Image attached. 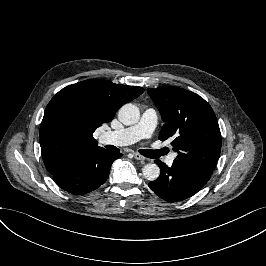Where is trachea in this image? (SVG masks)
<instances>
[{
	"mask_svg": "<svg viewBox=\"0 0 266 266\" xmlns=\"http://www.w3.org/2000/svg\"><path fill=\"white\" fill-rule=\"evenodd\" d=\"M162 151H163V149H161V150H149V149L146 150V149H144L140 153L142 155H144L145 157L153 159V158H156V156H158V155L162 156L163 155Z\"/></svg>",
	"mask_w": 266,
	"mask_h": 266,
	"instance_id": "3493384b",
	"label": "trachea"
}]
</instances>
